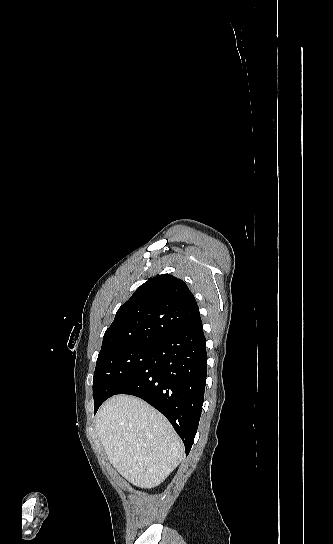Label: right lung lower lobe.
<instances>
[{"label":"right lung lower lobe","mask_w":333,"mask_h":544,"mask_svg":"<svg viewBox=\"0 0 333 544\" xmlns=\"http://www.w3.org/2000/svg\"><path fill=\"white\" fill-rule=\"evenodd\" d=\"M207 353L202 322L157 342L147 362L116 394L142 398L160 411L189 454L204 401Z\"/></svg>","instance_id":"right-lung-lower-lobe-1"}]
</instances>
